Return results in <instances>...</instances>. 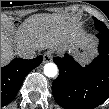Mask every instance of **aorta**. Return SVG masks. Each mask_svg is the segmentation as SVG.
<instances>
[{
	"instance_id": "762f6f07",
	"label": "aorta",
	"mask_w": 109,
	"mask_h": 109,
	"mask_svg": "<svg viewBox=\"0 0 109 109\" xmlns=\"http://www.w3.org/2000/svg\"><path fill=\"white\" fill-rule=\"evenodd\" d=\"M58 73V68L55 63H47L44 65V74L47 77H55Z\"/></svg>"
}]
</instances>
